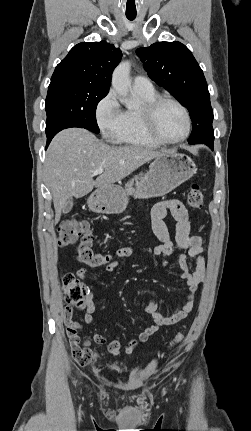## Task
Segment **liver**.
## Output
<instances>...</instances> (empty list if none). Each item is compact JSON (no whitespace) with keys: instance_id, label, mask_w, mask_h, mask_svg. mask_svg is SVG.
<instances>
[{"instance_id":"obj_1","label":"liver","mask_w":251,"mask_h":431,"mask_svg":"<svg viewBox=\"0 0 251 431\" xmlns=\"http://www.w3.org/2000/svg\"><path fill=\"white\" fill-rule=\"evenodd\" d=\"M140 146H109L91 132L69 128L50 143L44 173L53 197L55 224L65 203L89 194L94 187L105 189L129 176L143 164L167 153ZM103 168L96 180L93 171Z\"/></svg>"}]
</instances>
